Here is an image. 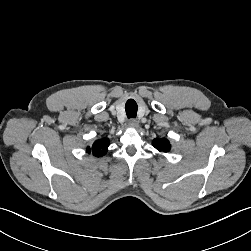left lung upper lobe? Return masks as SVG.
<instances>
[{"label": "left lung upper lobe", "instance_id": "1", "mask_svg": "<svg viewBox=\"0 0 251 251\" xmlns=\"http://www.w3.org/2000/svg\"><path fill=\"white\" fill-rule=\"evenodd\" d=\"M152 144L159 151H163V152L170 151V143L165 138H161V139L156 138L153 140Z\"/></svg>", "mask_w": 251, "mask_h": 251}]
</instances>
